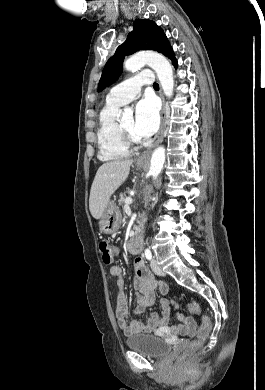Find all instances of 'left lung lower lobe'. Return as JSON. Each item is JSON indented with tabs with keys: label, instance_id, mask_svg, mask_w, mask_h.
Segmentation results:
<instances>
[{
	"label": "left lung lower lobe",
	"instance_id": "left-lung-lower-lobe-1",
	"mask_svg": "<svg viewBox=\"0 0 265 390\" xmlns=\"http://www.w3.org/2000/svg\"><path fill=\"white\" fill-rule=\"evenodd\" d=\"M171 60H172L173 65L176 68L177 67V60H176L175 56Z\"/></svg>",
	"mask_w": 265,
	"mask_h": 390
}]
</instances>
